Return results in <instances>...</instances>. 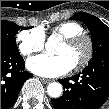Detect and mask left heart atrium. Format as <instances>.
Wrapping results in <instances>:
<instances>
[{
  "label": "left heart atrium",
  "mask_w": 109,
  "mask_h": 109,
  "mask_svg": "<svg viewBox=\"0 0 109 109\" xmlns=\"http://www.w3.org/2000/svg\"><path fill=\"white\" fill-rule=\"evenodd\" d=\"M27 67L39 76L55 78L69 73L74 65L65 55L41 54L28 59Z\"/></svg>",
  "instance_id": "39dd6f15"
}]
</instances>
